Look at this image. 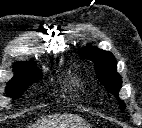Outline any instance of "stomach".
Here are the masks:
<instances>
[{"mask_svg":"<svg viewBox=\"0 0 142 128\" xmlns=\"http://www.w3.org/2000/svg\"><path fill=\"white\" fill-rule=\"evenodd\" d=\"M78 128H88V126L86 124H81Z\"/></svg>","mask_w":142,"mask_h":128,"instance_id":"obj_1","label":"stomach"}]
</instances>
